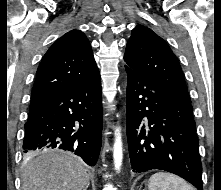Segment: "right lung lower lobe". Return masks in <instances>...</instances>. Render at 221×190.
Returning <instances> with one entry per match:
<instances>
[{
  "instance_id": "obj_1",
  "label": "right lung lower lobe",
  "mask_w": 221,
  "mask_h": 190,
  "mask_svg": "<svg viewBox=\"0 0 221 190\" xmlns=\"http://www.w3.org/2000/svg\"><path fill=\"white\" fill-rule=\"evenodd\" d=\"M24 127L25 153L59 148L74 152L94 166L102 140L100 74L31 102Z\"/></svg>"
}]
</instances>
